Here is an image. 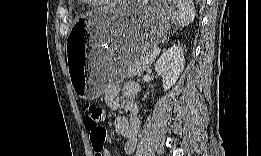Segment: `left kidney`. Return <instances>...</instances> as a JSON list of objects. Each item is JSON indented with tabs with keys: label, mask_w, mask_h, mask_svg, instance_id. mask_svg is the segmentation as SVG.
<instances>
[{
	"label": "left kidney",
	"mask_w": 261,
	"mask_h": 156,
	"mask_svg": "<svg viewBox=\"0 0 261 156\" xmlns=\"http://www.w3.org/2000/svg\"><path fill=\"white\" fill-rule=\"evenodd\" d=\"M184 52L182 47L174 45L165 51L155 64V70L162 76L164 92L177 81L184 69Z\"/></svg>",
	"instance_id": "5707ae66"
}]
</instances>
